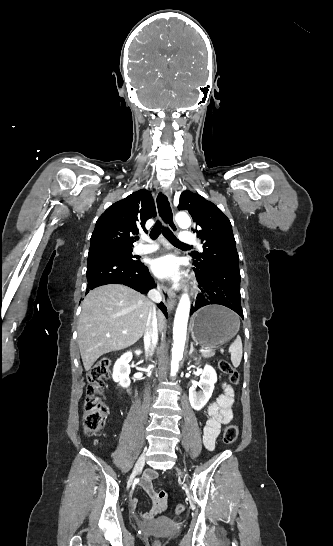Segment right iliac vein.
<instances>
[{"label":"right iliac vein","mask_w":333,"mask_h":546,"mask_svg":"<svg viewBox=\"0 0 333 546\" xmlns=\"http://www.w3.org/2000/svg\"><path fill=\"white\" fill-rule=\"evenodd\" d=\"M144 463H145V454L143 453L139 457V459H138V461H137V463H136V465L134 467V474H136L138 471H140L143 468Z\"/></svg>","instance_id":"63e3f726"}]
</instances>
